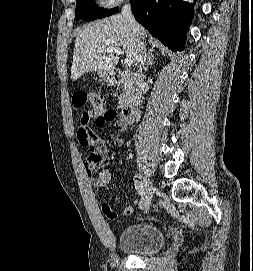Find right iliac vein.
Masks as SVG:
<instances>
[{
	"instance_id": "right-iliac-vein-1",
	"label": "right iliac vein",
	"mask_w": 253,
	"mask_h": 271,
	"mask_svg": "<svg viewBox=\"0 0 253 271\" xmlns=\"http://www.w3.org/2000/svg\"><path fill=\"white\" fill-rule=\"evenodd\" d=\"M143 181H144V191H143L141 208L148 209L150 207V204L153 198L154 188L149 179L144 178Z\"/></svg>"
}]
</instances>
